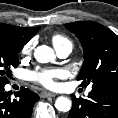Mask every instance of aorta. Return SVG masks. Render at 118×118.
Wrapping results in <instances>:
<instances>
[{
	"instance_id": "aorta-1",
	"label": "aorta",
	"mask_w": 118,
	"mask_h": 118,
	"mask_svg": "<svg viewBox=\"0 0 118 118\" xmlns=\"http://www.w3.org/2000/svg\"><path fill=\"white\" fill-rule=\"evenodd\" d=\"M34 57L39 63H48L54 60L55 55L52 48L47 45H41L34 50ZM71 107L72 102L67 97L60 96L55 101V108L60 112H68Z\"/></svg>"
}]
</instances>
